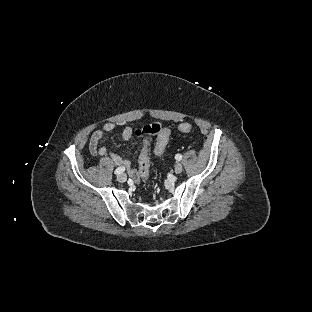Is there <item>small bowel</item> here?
<instances>
[{
	"label": "small bowel",
	"instance_id": "1",
	"mask_svg": "<svg viewBox=\"0 0 312 312\" xmlns=\"http://www.w3.org/2000/svg\"><path fill=\"white\" fill-rule=\"evenodd\" d=\"M116 128V124L114 122H107L103 125L102 128L95 130L88 141V148L92 155H99L101 157L110 156L113 162L117 166H124L128 174L130 175L131 179L135 182L139 181V175L135 168L132 167L130 161L124 157H121L115 153L110 152L105 146H100L99 143L101 139L104 137L105 134L111 133ZM168 127H161L159 132L157 133L158 136L164 130H167ZM134 134V129L131 126H124L121 131V138L125 141L132 138ZM157 136V137H158Z\"/></svg>",
	"mask_w": 312,
	"mask_h": 312
}]
</instances>
